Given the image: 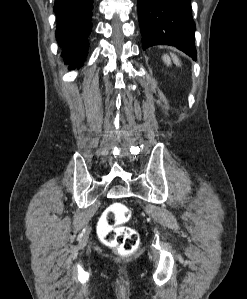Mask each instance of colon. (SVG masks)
I'll list each match as a JSON object with an SVG mask.
<instances>
[{"instance_id":"5ec220e1","label":"colon","mask_w":247,"mask_h":299,"mask_svg":"<svg viewBox=\"0 0 247 299\" xmlns=\"http://www.w3.org/2000/svg\"><path fill=\"white\" fill-rule=\"evenodd\" d=\"M130 216L127 206L122 203H113L106 209L99 224L103 241L115 247L121 255H130L139 246L137 232L125 225Z\"/></svg>"}]
</instances>
